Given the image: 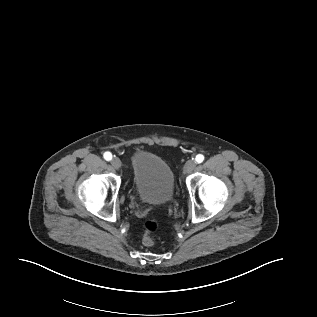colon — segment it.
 <instances>
[{"instance_id":"obj_1","label":"colon","mask_w":317,"mask_h":317,"mask_svg":"<svg viewBox=\"0 0 317 317\" xmlns=\"http://www.w3.org/2000/svg\"><path fill=\"white\" fill-rule=\"evenodd\" d=\"M157 223L155 220H149L145 223V232L143 235V244L145 246H152L155 244V239L152 236V233L156 230Z\"/></svg>"}]
</instances>
